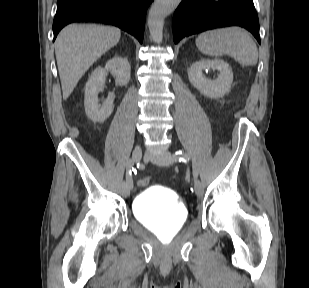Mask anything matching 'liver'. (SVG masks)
<instances>
[{"label": "liver", "mask_w": 309, "mask_h": 288, "mask_svg": "<svg viewBox=\"0 0 309 288\" xmlns=\"http://www.w3.org/2000/svg\"><path fill=\"white\" fill-rule=\"evenodd\" d=\"M121 31L102 25L70 24L55 41V54L66 100L86 71L120 40Z\"/></svg>", "instance_id": "obj_1"}]
</instances>
